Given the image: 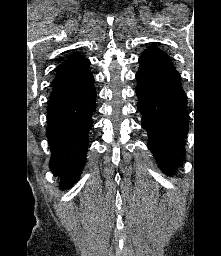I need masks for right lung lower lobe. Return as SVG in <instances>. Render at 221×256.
Returning a JSON list of instances; mask_svg holds the SVG:
<instances>
[{
  "mask_svg": "<svg viewBox=\"0 0 221 256\" xmlns=\"http://www.w3.org/2000/svg\"><path fill=\"white\" fill-rule=\"evenodd\" d=\"M95 98L93 89L64 102L49 103L46 134L52 153L50 168L60 176L61 189L74 184L85 164Z\"/></svg>",
  "mask_w": 221,
  "mask_h": 256,
  "instance_id": "1",
  "label": "right lung lower lobe"
}]
</instances>
